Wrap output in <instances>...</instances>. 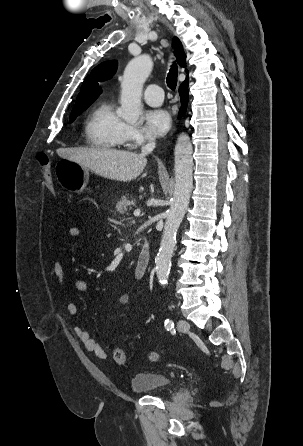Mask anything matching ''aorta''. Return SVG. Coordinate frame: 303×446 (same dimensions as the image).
I'll return each mask as SVG.
<instances>
[{
    "instance_id": "1",
    "label": "aorta",
    "mask_w": 303,
    "mask_h": 446,
    "mask_svg": "<svg viewBox=\"0 0 303 446\" xmlns=\"http://www.w3.org/2000/svg\"><path fill=\"white\" fill-rule=\"evenodd\" d=\"M152 67L150 56L141 55L132 59L125 68L121 81V108L118 115L127 122H136L140 116L143 84L150 75ZM192 152L189 136L186 133L180 134L174 150V194L167 213L160 249L155 258L157 278L162 286L168 283L176 233L188 208L193 187Z\"/></svg>"
}]
</instances>
